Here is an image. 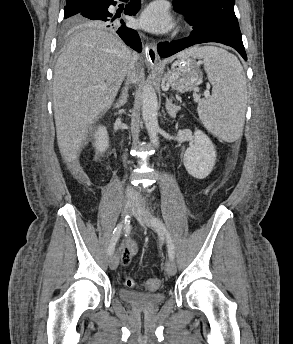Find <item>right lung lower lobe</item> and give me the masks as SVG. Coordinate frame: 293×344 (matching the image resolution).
<instances>
[{"instance_id":"obj_1","label":"right lung lower lobe","mask_w":293,"mask_h":344,"mask_svg":"<svg viewBox=\"0 0 293 344\" xmlns=\"http://www.w3.org/2000/svg\"><path fill=\"white\" fill-rule=\"evenodd\" d=\"M116 2L113 0H92L87 2L86 6L80 11L79 15L87 20L101 21L105 27L114 29L122 40L134 50L140 52L142 49L141 42L137 31L128 28L123 19H118L120 15L113 16L108 7ZM140 7L139 0H131L125 7L124 13L135 15Z\"/></svg>"}]
</instances>
